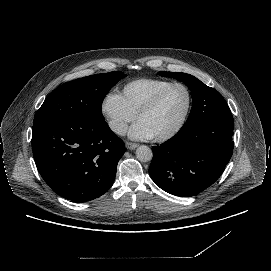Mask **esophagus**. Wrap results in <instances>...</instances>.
I'll return each instance as SVG.
<instances>
[{"label": "esophagus", "instance_id": "esophagus-1", "mask_svg": "<svg viewBox=\"0 0 271 271\" xmlns=\"http://www.w3.org/2000/svg\"><path fill=\"white\" fill-rule=\"evenodd\" d=\"M137 146H138V144H136V143L126 142V148L129 150H134L137 148Z\"/></svg>", "mask_w": 271, "mask_h": 271}]
</instances>
